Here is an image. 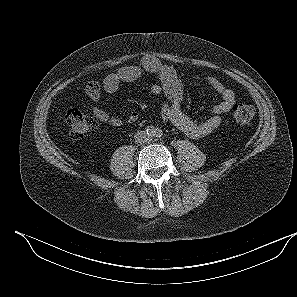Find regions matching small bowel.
I'll list each match as a JSON object with an SVG mask.
<instances>
[{
  "label": "small bowel",
  "instance_id": "obj_1",
  "mask_svg": "<svg viewBox=\"0 0 297 297\" xmlns=\"http://www.w3.org/2000/svg\"><path fill=\"white\" fill-rule=\"evenodd\" d=\"M146 73L154 74L160 80V84L152 86L151 92L154 95L164 93L168 99L167 102L162 104V121L172 123L192 139L205 137L217 129L236 102L233 90L219 80L211 77L195 76L193 77L194 80L208 86L219 97V102L214 105L208 118L202 121L192 120L182 109L183 84L179 73L173 67L163 65L158 59L146 56L142 59L140 65L125 66L109 74L103 80L102 85L94 81L87 84L86 93L96 103L92 108V113L98 121L113 127L136 123L139 119L137 112H131L126 116H115L99 106L101 90L103 89L106 93H114L123 84L132 83Z\"/></svg>",
  "mask_w": 297,
  "mask_h": 297
}]
</instances>
